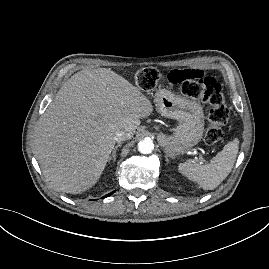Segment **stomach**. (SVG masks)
Masks as SVG:
<instances>
[{
	"label": "stomach",
	"mask_w": 269,
	"mask_h": 269,
	"mask_svg": "<svg viewBox=\"0 0 269 269\" xmlns=\"http://www.w3.org/2000/svg\"><path fill=\"white\" fill-rule=\"evenodd\" d=\"M154 102L162 116L178 122L173 135L161 133L157 137L169 157L186 153L202 139L205 117L198 102L175 95L166 89L156 91Z\"/></svg>",
	"instance_id": "obj_1"
}]
</instances>
